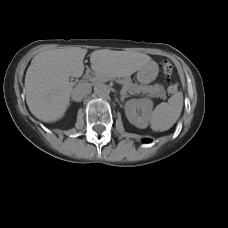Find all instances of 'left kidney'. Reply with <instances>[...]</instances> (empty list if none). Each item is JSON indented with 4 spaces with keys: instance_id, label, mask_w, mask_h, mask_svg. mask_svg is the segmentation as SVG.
Wrapping results in <instances>:
<instances>
[{
    "instance_id": "obj_1",
    "label": "left kidney",
    "mask_w": 228,
    "mask_h": 228,
    "mask_svg": "<svg viewBox=\"0 0 228 228\" xmlns=\"http://www.w3.org/2000/svg\"><path fill=\"white\" fill-rule=\"evenodd\" d=\"M152 108L153 102L150 99H132L127 101L124 105L128 121L141 129L148 126ZM137 110H140L141 114L137 113Z\"/></svg>"
}]
</instances>
